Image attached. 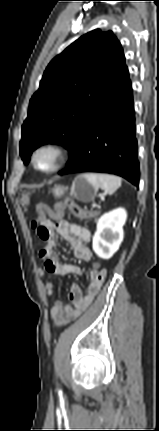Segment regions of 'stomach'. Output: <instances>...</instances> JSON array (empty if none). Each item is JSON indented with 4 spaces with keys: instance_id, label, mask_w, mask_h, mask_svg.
<instances>
[{
    "instance_id": "obj_1",
    "label": "stomach",
    "mask_w": 159,
    "mask_h": 431,
    "mask_svg": "<svg viewBox=\"0 0 159 431\" xmlns=\"http://www.w3.org/2000/svg\"><path fill=\"white\" fill-rule=\"evenodd\" d=\"M66 188L63 186H55L53 193L54 196L60 198L63 196ZM97 193V188L88 182L84 175L78 176L72 186V194L73 196L82 201V202H91L94 200ZM29 192H23L21 197V203L23 206H27L29 204Z\"/></svg>"
}]
</instances>
